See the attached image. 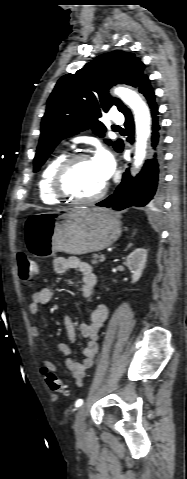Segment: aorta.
<instances>
[{
    "label": "aorta",
    "instance_id": "obj_1",
    "mask_svg": "<svg viewBox=\"0 0 187 479\" xmlns=\"http://www.w3.org/2000/svg\"><path fill=\"white\" fill-rule=\"evenodd\" d=\"M119 96L134 112L136 124V151L134 165L140 167L146 156L147 140L150 137V113L140 96L127 88H117Z\"/></svg>",
    "mask_w": 187,
    "mask_h": 479
}]
</instances>
